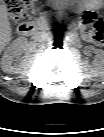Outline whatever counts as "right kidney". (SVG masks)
<instances>
[{
  "label": "right kidney",
  "instance_id": "ca27d5eb",
  "mask_svg": "<svg viewBox=\"0 0 104 137\" xmlns=\"http://www.w3.org/2000/svg\"><path fill=\"white\" fill-rule=\"evenodd\" d=\"M25 37L15 39L5 50L1 58V69L8 74H20L30 64V58L26 57L19 64L14 63V58L20 56L27 47Z\"/></svg>",
  "mask_w": 104,
  "mask_h": 137
}]
</instances>
